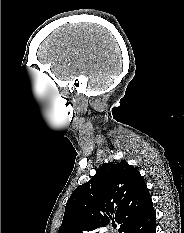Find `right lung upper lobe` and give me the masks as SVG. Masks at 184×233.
<instances>
[{"mask_svg": "<svg viewBox=\"0 0 184 233\" xmlns=\"http://www.w3.org/2000/svg\"><path fill=\"white\" fill-rule=\"evenodd\" d=\"M152 205L139 171L126 161L103 164L94 177L78 186L65 207L59 233H96L110 219L119 232Z\"/></svg>", "mask_w": 184, "mask_h": 233, "instance_id": "obj_1", "label": "right lung upper lobe"}]
</instances>
